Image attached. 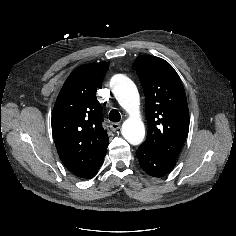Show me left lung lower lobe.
<instances>
[{
  "mask_svg": "<svg viewBox=\"0 0 236 236\" xmlns=\"http://www.w3.org/2000/svg\"><path fill=\"white\" fill-rule=\"evenodd\" d=\"M136 155L142 169L153 177H163L167 175L176 165L175 162L160 157L144 146L138 148Z\"/></svg>",
  "mask_w": 236,
  "mask_h": 236,
  "instance_id": "left-lung-lower-lobe-1",
  "label": "left lung lower lobe"
}]
</instances>
